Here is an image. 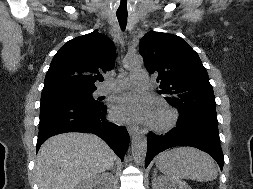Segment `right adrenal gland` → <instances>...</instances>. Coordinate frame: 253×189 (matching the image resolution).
Wrapping results in <instances>:
<instances>
[{
  "instance_id": "right-adrenal-gland-1",
  "label": "right adrenal gland",
  "mask_w": 253,
  "mask_h": 189,
  "mask_svg": "<svg viewBox=\"0 0 253 189\" xmlns=\"http://www.w3.org/2000/svg\"><path fill=\"white\" fill-rule=\"evenodd\" d=\"M109 170H112L114 172L115 171V167L112 166Z\"/></svg>"
}]
</instances>
